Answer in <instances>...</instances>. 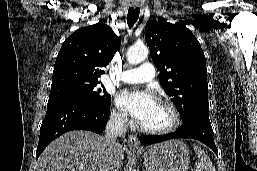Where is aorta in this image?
Listing matches in <instances>:
<instances>
[{
	"label": "aorta",
	"instance_id": "1",
	"mask_svg": "<svg viewBox=\"0 0 257 171\" xmlns=\"http://www.w3.org/2000/svg\"><path fill=\"white\" fill-rule=\"evenodd\" d=\"M127 60L130 64H137L148 56V48L144 44H135L127 51Z\"/></svg>",
	"mask_w": 257,
	"mask_h": 171
}]
</instances>
